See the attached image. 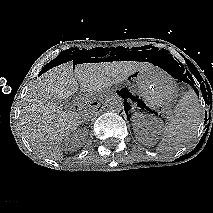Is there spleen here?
<instances>
[{
  "instance_id": "1",
  "label": "spleen",
  "mask_w": 213,
  "mask_h": 213,
  "mask_svg": "<svg viewBox=\"0 0 213 213\" xmlns=\"http://www.w3.org/2000/svg\"><path fill=\"white\" fill-rule=\"evenodd\" d=\"M174 113L163 128L162 139L156 149L159 152L178 150L196 135L202 121V110L193 89L179 100Z\"/></svg>"
}]
</instances>
